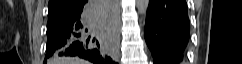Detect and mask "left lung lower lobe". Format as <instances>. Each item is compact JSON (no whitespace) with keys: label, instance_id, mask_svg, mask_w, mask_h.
I'll use <instances>...</instances> for the list:
<instances>
[{"label":"left lung lower lobe","instance_id":"0a47b994","mask_svg":"<svg viewBox=\"0 0 242 64\" xmlns=\"http://www.w3.org/2000/svg\"><path fill=\"white\" fill-rule=\"evenodd\" d=\"M189 33L185 0H150L144 35L154 64H180Z\"/></svg>","mask_w":242,"mask_h":64}]
</instances>
